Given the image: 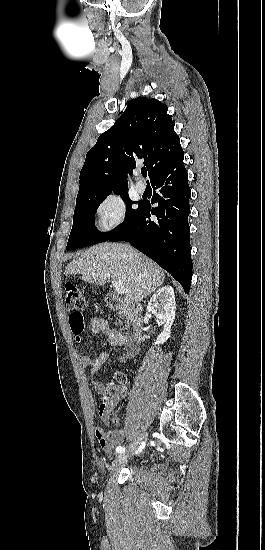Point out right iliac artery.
I'll return each instance as SVG.
<instances>
[{"label":"right iliac artery","mask_w":265,"mask_h":550,"mask_svg":"<svg viewBox=\"0 0 265 550\" xmlns=\"http://www.w3.org/2000/svg\"><path fill=\"white\" fill-rule=\"evenodd\" d=\"M144 447H145V442L143 441V442L141 443L140 447L138 448V450L136 451V454L139 453V452H141V451L144 449ZM116 451L119 452V453H124V452H125V448L122 447V446H118V447L116 448Z\"/></svg>","instance_id":"right-iliac-artery-1"}]
</instances>
